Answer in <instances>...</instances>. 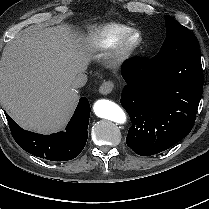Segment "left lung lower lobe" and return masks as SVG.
Segmentation results:
<instances>
[{"label":"left lung lower lobe","instance_id":"obj_1","mask_svg":"<svg viewBox=\"0 0 209 209\" xmlns=\"http://www.w3.org/2000/svg\"><path fill=\"white\" fill-rule=\"evenodd\" d=\"M121 73L120 102L132 122L126 143L136 154L160 153L190 133L203 89L199 49L170 60L131 59Z\"/></svg>","mask_w":209,"mask_h":209}]
</instances>
